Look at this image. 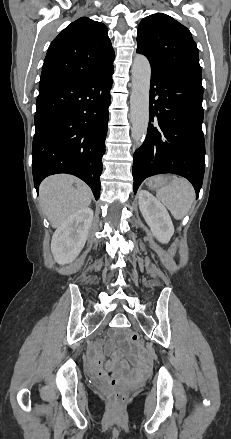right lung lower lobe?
<instances>
[{
  "mask_svg": "<svg viewBox=\"0 0 231 439\" xmlns=\"http://www.w3.org/2000/svg\"><path fill=\"white\" fill-rule=\"evenodd\" d=\"M113 73L110 65L85 80L39 89L32 147L36 190L45 177L69 173L99 199Z\"/></svg>",
  "mask_w": 231,
  "mask_h": 439,
  "instance_id": "98d812e1",
  "label": "right lung lower lobe"
}]
</instances>
